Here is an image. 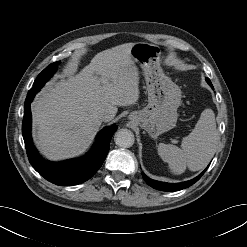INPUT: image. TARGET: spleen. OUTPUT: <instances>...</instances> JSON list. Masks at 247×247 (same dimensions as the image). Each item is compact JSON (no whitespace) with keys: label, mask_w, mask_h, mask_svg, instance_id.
<instances>
[{"label":"spleen","mask_w":247,"mask_h":247,"mask_svg":"<svg viewBox=\"0 0 247 247\" xmlns=\"http://www.w3.org/2000/svg\"><path fill=\"white\" fill-rule=\"evenodd\" d=\"M218 142L215 115L211 109H205L192 132L183 138L181 148L159 144L158 154L168 163L175 174L184 172L186 167L191 171L204 168L214 155Z\"/></svg>","instance_id":"spleen-1"}]
</instances>
